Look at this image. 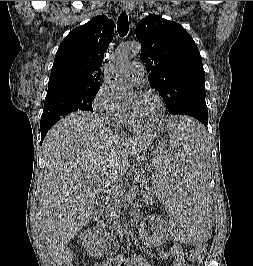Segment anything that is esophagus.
<instances>
[{"label": "esophagus", "mask_w": 253, "mask_h": 266, "mask_svg": "<svg viewBox=\"0 0 253 266\" xmlns=\"http://www.w3.org/2000/svg\"><path fill=\"white\" fill-rule=\"evenodd\" d=\"M120 2H121V6L124 10H126L127 12L132 11V8H133L132 1H120Z\"/></svg>", "instance_id": "34e87169"}]
</instances>
